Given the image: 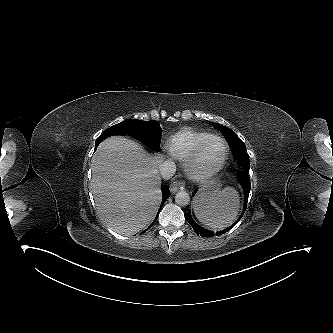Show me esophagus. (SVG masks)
Segmentation results:
<instances>
[{"instance_id":"obj_1","label":"esophagus","mask_w":333,"mask_h":333,"mask_svg":"<svg viewBox=\"0 0 333 333\" xmlns=\"http://www.w3.org/2000/svg\"><path fill=\"white\" fill-rule=\"evenodd\" d=\"M184 187H185V183L184 182H177V181H175V182H172L170 184V190H171L172 193L177 192L179 189H184Z\"/></svg>"}]
</instances>
